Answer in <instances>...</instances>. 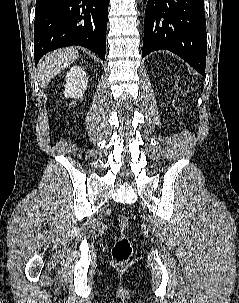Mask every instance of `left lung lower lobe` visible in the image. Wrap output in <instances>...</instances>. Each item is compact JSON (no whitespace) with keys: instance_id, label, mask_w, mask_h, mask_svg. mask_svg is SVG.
Masks as SVG:
<instances>
[{"instance_id":"left-lung-lower-lobe-1","label":"left lung lower lobe","mask_w":239,"mask_h":303,"mask_svg":"<svg viewBox=\"0 0 239 303\" xmlns=\"http://www.w3.org/2000/svg\"><path fill=\"white\" fill-rule=\"evenodd\" d=\"M165 49L206 76L204 0H148L142 57Z\"/></svg>"}]
</instances>
